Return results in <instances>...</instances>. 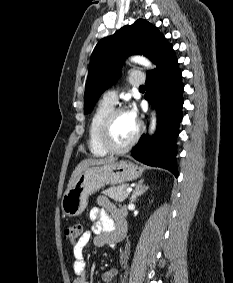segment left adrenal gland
Instances as JSON below:
<instances>
[{"label": "left adrenal gland", "mask_w": 233, "mask_h": 283, "mask_svg": "<svg viewBox=\"0 0 233 283\" xmlns=\"http://www.w3.org/2000/svg\"><path fill=\"white\" fill-rule=\"evenodd\" d=\"M144 180H140L132 192L130 202H135L137 197L141 196L148 190V186L143 185Z\"/></svg>", "instance_id": "left-adrenal-gland-1"}]
</instances>
